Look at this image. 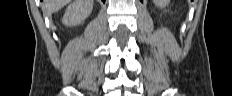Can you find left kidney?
Masks as SVG:
<instances>
[{"label": "left kidney", "instance_id": "obj_1", "mask_svg": "<svg viewBox=\"0 0 232 96\" xmlns=\"http://www.w3.org/2000/svg\"><path fill=\"white\" fill-rule=\"evenodd\" d=\"M154 4L159 8H164L166 5H168V0H154Z\"/></svg>", "mask_w": 232, "mask_h": 96}]
</instances>
